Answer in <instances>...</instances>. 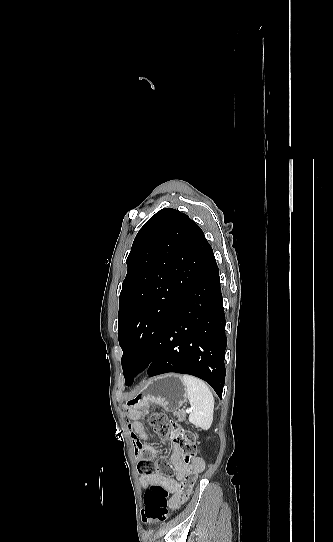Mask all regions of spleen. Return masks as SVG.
I'll list each match as a JSON object with an SVG mask.
<instances>
[{"label": "spleen", "instance_id": "1", "mask_svg": "<svg viewBox=\"0 0 333 542\" xmlns=\"http://www.w3.org/2000/svg\"><path fill=\"white\" fill-rule=\"evenodd\" d=\"M183 382L187 400L191 406V414H189V422L200 428V430H209L213 422L214 398L207 384L194 378V376H179Z\"/></svg>", "mask_w": 333, "mask_h": 542}]
</instances>
